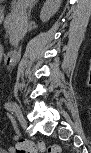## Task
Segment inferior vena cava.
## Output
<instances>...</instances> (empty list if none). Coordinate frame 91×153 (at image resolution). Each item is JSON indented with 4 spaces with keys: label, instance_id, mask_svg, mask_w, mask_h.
Masks as SVG:
<instances>
[{
    "label": "inferior vena cava",
    "instance_id": "obj_1",
    "mask_svg": "<svg viewBox=\"0 0 91 153\" xmlns=\"http://www.w3.org/2000/svg\"><path fill=\"white\" fill-rule=\"evenodd\" d=\"M34 2H35L34 0H32V1L30 2V7L33 5ZM28 16H29V14H28V15L25 14V13L22 14V23H23L22 37H24V36L26 35L27 30H28V25H29V23H28ZM17 52H18V51H17ZM15 56H16V55H15ZM14 59H15V58H14ZM13 62H14V61H13Z\"/></svg>",
    "mask_w": 91,
    "mask_h": 153
}]
</instances>
